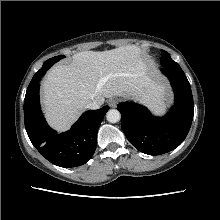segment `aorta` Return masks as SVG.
<instances>
[{
  "mask_svg": "<svg viewBox=\"0 0 220 220\" xmlns=\"http://www.w3.org/2000/svg\"><path fill=\"white\" fill-rule=\"evenodd\" d=\"M120 112L116 109H110L106 114V119L110 123H116L120 120Z\"/></svg>",
  "mask_w": 220,
  "mask_h": 220,
  "instance_id": "1",
  "label": "aorta"
}]
</instances>
